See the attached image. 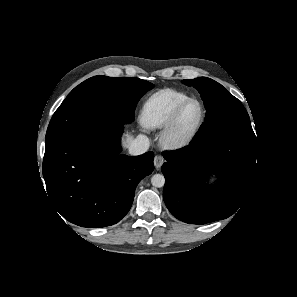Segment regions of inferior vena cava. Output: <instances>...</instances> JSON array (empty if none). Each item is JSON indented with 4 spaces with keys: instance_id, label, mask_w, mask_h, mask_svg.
Here are the masks:
<instances>
[{
    "instance_id": "1",
    "label": "inferior vena cava",
    "mask_w": 297,
    "mask_h": 297,
    "mask_svg": "<svg viewBox=\"0 0 297 297\" xmlns=\"http://www.w3.org/2000/svg\"><path fill=\"white\" fill-rule=\"evenodd\" d=\"M150 146L149 138L146 135H138L129 145V153L131 155H141L145 153Z\"/></svg>"
}]
</instances>
